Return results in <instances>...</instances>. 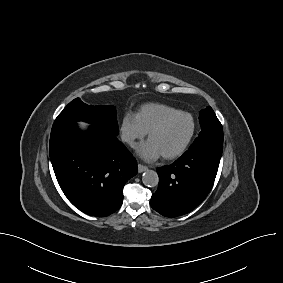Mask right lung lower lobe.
Returning <instances> with one entry per match:
<instances>
[{
	"mask_svg": "<svg viewBox=\"0 0 283 283\" xmlns=\"http://www.w3.org/2000/svg\"><path fill=\"white\" fill-rule=\"evenodd\" d=\"M49 154L57 181L68 200L91 216H108L123 203V187L137 164L116 136L74 122L54 123Z\"/></svg>",
	"mask_w": 283,
	"mask_h": 283,
	"instance_id": "right-lung-lower-lobe-1",
	"label": "right lung lower lobe"
}]
</instances>
